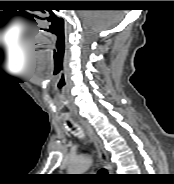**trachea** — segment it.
<instances>
[{"label":"trachea","mask_w":174,"mask_h":184,"mask_svg":"<svg viewBox=\"0 0 174 184\" xmlns=\"http://www.w3.org/2000/svg\"><path fill=\"white\" fill-rule=\"evenodd\" d=\"M69 125H70V123H68ZM71 126V125H70ZM99 173H106V170L105 169H101L100 171H99Z\"/></svg>","instance_id":"3493384b"}]
</instances>
